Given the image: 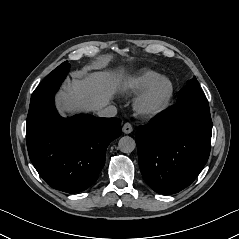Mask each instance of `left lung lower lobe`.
<instances>
[{
    "mask_svg": "<svg viewBox=\"0 0 239 239\" xmlns=\"http://www.w3.org/2000/svg\"><path fill=\"white\" fill-rule=\"evenodd\" d=\"M212 135L208 101L185 100L139 126L138 162L145 182L157 193L189 186L206 164Z\"/></svg>",
    "mask_w": 239,
    "mask_h": 239,
    "instance_id": "1",
    "label": "left lung lower lobe"
}]
</instances>
